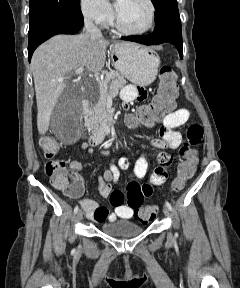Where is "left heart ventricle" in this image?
<instances>
[{
  "label": "left heart ventricle",
  "instance_id": "obj_1",
  "mask_svg": "<svg viewBox=\"0 0 240 288\" xmlns=\"http://www.w3.org/2000/svg\"><path fill=\"white\" fill-rule=\"evenodd\" d=\"M117 11L124 24L132 30L148 27L151 9L146 0H116Z\"/></svg>",
  "mask_w": 240,
  "mask_h": 288
}]
</instances>
